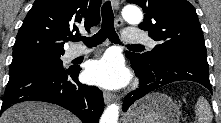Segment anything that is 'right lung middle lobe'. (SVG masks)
Segmentation results:
<instances>
[{
  "label": "right lung middle lobe",
  "mask_w": 221,
  "mask_h": 123,
  "mask_svg": "<svg viewBox=\"0 0 221 123\" xmlns=\"http://www.w3.org/2000/svg\"><path fill=\"white\" fill-rule=\"evenodd\" d=\"M64 52H24L13 54L10 72L28 67L46 66L63 68L61 55Z\"/></svg>",
  "instance_id": "obj_1"
}]
</instances>
